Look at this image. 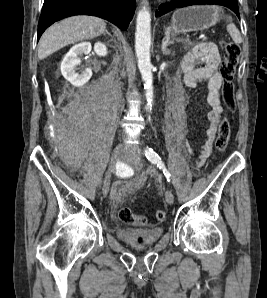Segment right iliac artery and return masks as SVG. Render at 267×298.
Wrapping results in <instances>:
<instances>
[{"label":"right iliac artery","instance_id":"1","mask_svg":"<svg viewBox=\"0 0 267 298\" xmlns=\"http://www.w3.org/2000/svg\"><path fill=\"white\" fill-rule=\"evenodd\" d=\"M122 166V163L117 162L116 167Z\"/></svg>","mask_w":267,"mask_h":298}]
</instances>
